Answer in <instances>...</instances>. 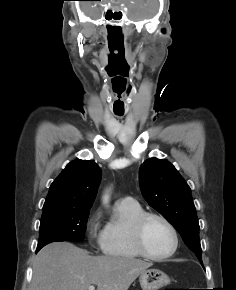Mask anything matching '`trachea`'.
Returning a JSON list of instances; mask_svg holds the SVG:
<instances>
[{"label":"trachea","instance_id":"obj_1","mask_svg":"<svg viewBox=\"0 0 236 290\" xmlns=\"http://www.w3.org/2000/svg\"><path fill=\"white\" fill-rule=\"evenodd\" d=\"M117 115H122V113H116Z\"/></svg>","mask_w":236,"mask_h":290}]
</instances>
